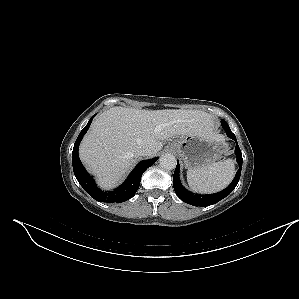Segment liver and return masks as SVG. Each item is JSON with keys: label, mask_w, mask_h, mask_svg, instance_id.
Returning a JSON list of instances; mask_svg holds the SVG:
<instances>
[{"label": "liver", "mask_w": 299, "mask_h": 299, "mask_svg": "<svg viewBox=\"0 0 299 299\" xmlns=\"http://www.w3.org/2000/svg\"><path fill=\"white\" fill-rule=\"evenodd\" d=\"M213 119L199 110H139L113 107L93 121L84 137L79 156L97 176L99 185L110 189L129 171L142 148L154 156L163 141L174 136L205 134Z\"/></svg>", "instance_id": "obj_1"}]
</instances>
